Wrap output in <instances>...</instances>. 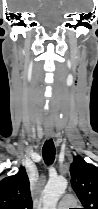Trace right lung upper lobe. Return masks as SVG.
I'll return each instance as SVG.
<instances>
[{"mask_svg": "<svg viewBox=\"0 0 98 209\" xmlns=\"http://www.w3.org/2000/svg\"><path fill=\"white\" fill-rule=\"evenodd\" d=\"M0 209H32L30 183L24 167L16 175L0 181Z\"/></svg>", "mask_w": 98, "mask_h": 209, "instance_id": "cb5924a9", "label": "right lung upper lobe"}]
</instances>
